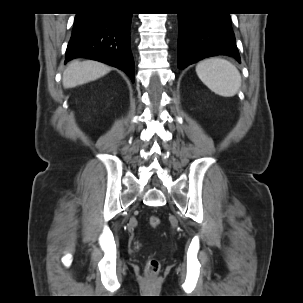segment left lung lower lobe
Returning a JSON list of instances; mask_svg holds the SVG:
<instances>
[{
    "mask_svg": "<svg viewBox=\"0 0 303 303\" xmlns=\"http://www.w3.org/2000/svg\"><path fill=\"white\" fill-rule=\"evenodd\" d=\"M178 68L203 58L227 55L240 62L227 13L178 14Z\"/></svg>",
    "mask_w": 303,
    "mask_h": 303,
    "instance_id": "left-lung-lower-lobe-1",
    "label": "left lung lower lobe"
}]
</instances>
